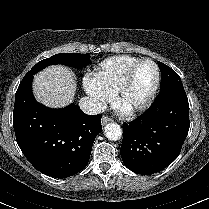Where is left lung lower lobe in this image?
Returning a JSON list of instances; mask_svg holds the SVG:
<instances>
[{
	"label": "left lung lower lobe",
	"mask_w": 209,
	"mask_h": 209,
	"mask_svg": "<svg viewBox=\"0 0 209 209\" xmlns=\"http://www.w3.org/2000/svg\"><path fill=\"white\" fill-rule=\"evenodd\" d=\"M189 126L184 88L161 91L142 116L123 124L120 153L125 166L142 175L163 170L180 154Z\"/></svg>",
	"instance_id": "left-lung-lower-lobe-1"
}]
</instances>
